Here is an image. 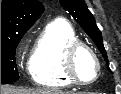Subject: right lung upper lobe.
Wrapping results in <instances>:
<instances>
[{"label":"right lung upper lobe","mask_w":121,"mask_h":94,"mask_svg":"<svg viewBox=\"0 0 121 94\" xmlns=\"http://www.w3.org/2000/svg\"><path fill=\"white\" fill-rule=\"evenodd\" d=\"M44 12L37 0H3L1 3V36L28 30Z\"/></svg>","instance_id":"cb5924a9"}]
</instances>
